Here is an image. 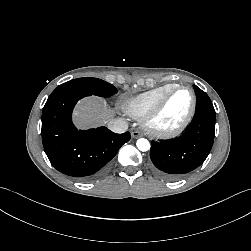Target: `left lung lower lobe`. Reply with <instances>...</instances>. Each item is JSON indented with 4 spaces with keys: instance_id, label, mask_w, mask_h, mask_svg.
Listing matches in <instances>:
<instances>
[{
    "instance_id": "obj_1",
    "label": "left lung lower lobe",
    "mask_w": 251,
    "mask_h": 251,
    "mask_svg": "<svg viewBox=\"0 0 251 251\" xmlns=\"http://www.w3.org/2000/svg\"><path fill=\"white\" fill-rule=\"evenodd\" d=\"M215 119V114L195 112L181 136L168 141H153L150 157L154 171L165 179L175 180L199 167L212 148Z\"/></svg>"
}]
</instances>
